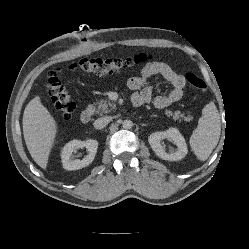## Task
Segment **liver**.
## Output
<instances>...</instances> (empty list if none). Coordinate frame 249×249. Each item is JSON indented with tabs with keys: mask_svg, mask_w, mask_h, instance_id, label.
Masks as SVG:
<instances>
[{
	"mask_svg": "<svg viewBox=\"0 0 249 249\" xmlns=\"http://www.w3.org/2000/svg\"><path fill=\"white\" fill-rule=\"evenodd\" d=\"M57 133V124L40 97H34L25 107L23 134L33 160L46 169L49 154Z\"/></svg>",
	"mask_w": 249,
	"mask_h": 249,
	"instance_id": "obj_1",
	"label": "liver"
}]
</instances>
